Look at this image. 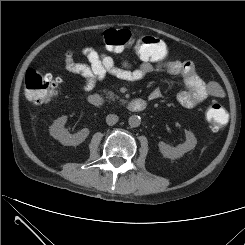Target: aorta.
I'll list each match as a JSON object with an SVG mask.
<instances>
[{"mask_svg": "<svg viewBox=\"0 0 245 245\" xmlns=\"http://www.w3.org/2000/svg\"><path fill=\"white\" fill-rule=\"evenodd\" d=\"M128 123L131 127H138L141 124V118L138 115H132L129 117Z\"/></svg>", "mask_w": 245, "mask_h": 245, "instance_id": "obj_1", "label": "aorta"}]
</instances>
